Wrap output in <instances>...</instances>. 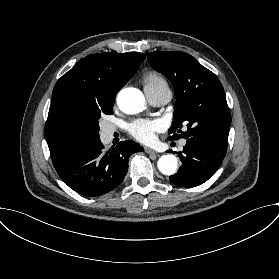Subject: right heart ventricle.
Here are the masks:
<instances>
[{
  "instance_id": "e07e8e85",
  "label": "right heart ventricle",
  "mask_w": 279,
  "mask_h": 279,
  "mask_svg": "<svg viewBox=\"0 0 279 279\" xmlns=\"http://www.w3.org/2000/svg\"><path fill=\"white\" fill-rule=\"evenodd\" d=\"M161 83H167L166 80L159 73L155 71L148 72L144 77L145 86H156Z\"/></svg>"
}]
</instances>
